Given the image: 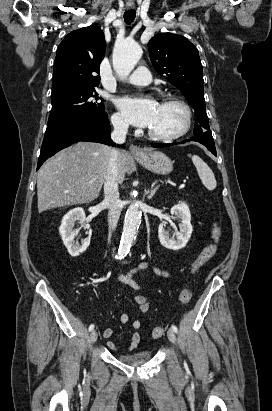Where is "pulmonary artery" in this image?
<instances>
[{
	"instance_id": "obj_1",
	"label": "pulmonary artery",
	"mask_w": 272,
	"mask_h": 411,
	"mask_svg": "<svg viewBox=\"0 0 272 411\" xmlns=\"http://www.w3.org/2000/svg\"><path fill=\"white\" fill-rule=\"evenodd\" d=\"M128 81L136 86H147L151 83V75L146 67H138Z\"/></svg>"
}]
</instances>
